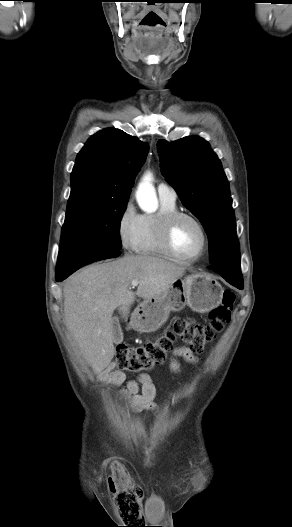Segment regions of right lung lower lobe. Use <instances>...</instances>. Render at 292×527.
<instances>
[{
	"mask_svg": "<svg viewBox=\"0 0 292 527\" xmlns=\"http://www.w3.org/2000/svg\"><path fill=\"white\" fill-rule=\"evenodd\" d=\"M119 255L118 249L104 245L60 247L56 266V281H63L84 265L103 259L115 258Z\"/></svg>",
	"mask_w": 292,
	"mask_h": 527,
	"instance_id": "1",
	"label": "right lung lower lobe"
}]
</instances>
